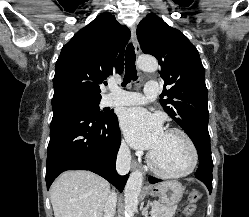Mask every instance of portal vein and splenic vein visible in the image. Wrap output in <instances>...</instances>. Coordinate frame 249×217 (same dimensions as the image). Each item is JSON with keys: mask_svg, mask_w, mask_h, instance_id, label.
I'll use <instances>...</instances> for the list:
<instances>
[{"mask_svg": "<svg viewBox=\"0 0 249 217\" xmlns=\"http://www.w3.org/2000/svg\"><path fill=\"white\" fill-rule=\"evenodd\" d=\"M151 217H155V215H154V214H152V215H151Z\"/></svg>", "mask_w": 249, "mask_h": 217, "instance_id": "obj_1", "label": "portal vein and splenic vein"}]
</instances>
